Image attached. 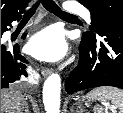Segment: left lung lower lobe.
Masks as SVG:
<instances>
[{
  "label": "left lung lower lobe",
  "instance_id": "left-lung-lower-lobe-1",
  "mask_svg": "<svg viewBox=\"0 0 123 113\" xmlns=\"http://www.w3.org/2000/svg\"><path fill=\"white\" fill-rule=\"evenodd\" d=\"M95 30L94 37L82 38L79 64L65 81L67 93L99 86L123 89V20L104 16Z\"/></svg>",
  "mask_w": 123,
  "mask_h": 113
}]
</instances>
